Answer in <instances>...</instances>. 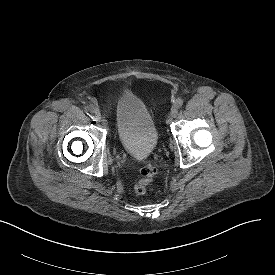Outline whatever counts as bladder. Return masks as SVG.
<instances>
[{"instance_id": "31cf9c89", "label": "bladder", "mask_w": 275, "mask_h": 275, "mask_svg": "<svg viewBox=\"0 0 275 275\" xmlns=\"http://www.w3.org/2000/svg\"><path fill=\"white\" fill-rule=\"evenodd\" d=\"M115 131L123 150L134 158L147 157L158 143L154 119L133 92L122 93L115 106Z\"/></svg>"}]
</instances>
